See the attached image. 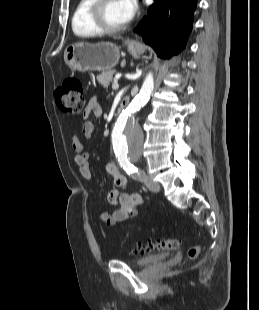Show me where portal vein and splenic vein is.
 Instances as JSON below:
<instances>
[{
	"label": "portal vein and splenic vein",
	"instance_id": "portal-vein-and-splenic-vein-1",
	"mask_svg": "<svg viewBox=\"0 0 259 310\" xmlns=\"http://www.w3.org/2000/svg\"><path fill=\"white\" fill-rule=\"evenodd\" d=\"M118 88H119L118 83H113L112 89H113V90H117Z\"/></svg>",
	"mask_w": 259,
	"mask_h": 310
}]
</instances>
